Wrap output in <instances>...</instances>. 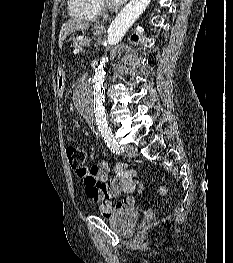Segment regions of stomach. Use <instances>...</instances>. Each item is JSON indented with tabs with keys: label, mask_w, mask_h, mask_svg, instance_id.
<instances>
[{
	"label": "stomach",
	"mask_w": 233,
	"mask_h": 263,
	"mask_svg": "<svg viewBox=\"0 0 233 263\" xmlns=\"http://www.w3.org/2000/svg\"><path fill=\"white\" fill-rule=\"evenodd\" d=\"M93 34L96 36H99L103 33V29H100L98 27L93 28ZM55 82H57L56 87L58 91H65L66 88L69 87V84L65 81V73L62 69L59 70L58 76L55 77Z\"/></svg>",
	"instance_id": "1"
}]
</instances>
